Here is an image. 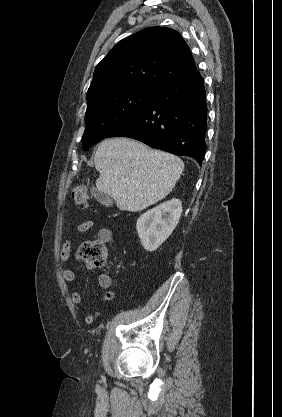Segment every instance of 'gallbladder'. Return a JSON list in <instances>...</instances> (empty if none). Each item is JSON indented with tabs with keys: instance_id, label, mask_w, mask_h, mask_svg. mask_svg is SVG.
I'll return each instance as SVG.
<instances>
[{
	"instance_id": "1",
	"label": "gallbladder",
	"mask_w": 282,
	"mask_h": 417,
	"mask_svg": "<svg viewBox=\"0 0 282 417\" xmlns=\"http://www.w3.org/2000/svg\"><path fill=\"white\" fill-rule=\"evenodd\" d=\"M90 192L92 196H94L98 202H102V204H107L110 200L109 196H107L105 192H102V190H99V188H94V186H92V188H90Z\"/></svg>"
}]
</instances>
